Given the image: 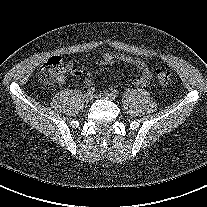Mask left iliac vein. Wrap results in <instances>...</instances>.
Listing matches in <instances>:
<instances>
[{"label":"left iliac vein","instance_id":"obj_1","mask_svg":"<svg viewBox=\"0 0 207 207\" xmlns=\"http://www.w3.org/2000/svg\"><path fill=\"white\" fill-rule=\"evenodd\" d=\"M97 96L102 99H107L111 101L115 100V96L112 93H100Z\"/></svg>","mask_w":207,"mask_h":207}]
</instances>
